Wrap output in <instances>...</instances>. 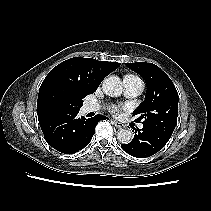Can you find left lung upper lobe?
<instances>
[{"label": "left lung upper lobe", "mask_w": 211, "mask_h": 211, "mask_svg": "<svg viewBox=\"0 0 211 211\" xmlns=\"http://www.w3.org/2000/svg\"><path fill=\"white\" fill-rule=\"evenodd\" d=\"M143 77L147 91L145 100L134 111L140 116L143 127L154 130L170 139L178 116V93L172 80L155 64L146 62L126 63Z\"/></svg>", "instance_id": "1"}]
</instances>
